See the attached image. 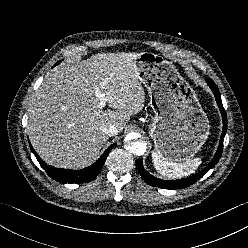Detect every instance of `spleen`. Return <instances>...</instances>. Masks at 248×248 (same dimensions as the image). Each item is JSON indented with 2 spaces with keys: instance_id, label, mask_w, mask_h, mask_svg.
Returning <instances> with one entry per match:
<instances>
[{
  "instance_id": "1",
  "label": "spleen",
  "mask_w": 248,
  "mask_h": 248,
  "mask_svg": "<svg viewBox=\"0 0 248 248\" xmlns=\"http://www.w3.org/2000/svg\"><path fill=\"white\" fill-rule=\"evenodd\" d=\"M154 168L164 178L176 179L189 176L197 170L202 163L201 158L197 157L184 163L168 162L161 159L157 154L152 153Z\"/></svg>"
}]
</instances>
